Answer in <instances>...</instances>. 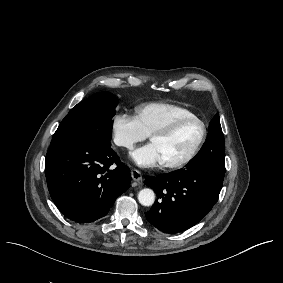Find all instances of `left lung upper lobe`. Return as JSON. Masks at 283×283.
Instances as JSON below:
<instances>
[{
	"label": "left lung upper lobe",
	"mask_w": 283,
	"mask_h": 283,
	"mask_svg": "<svg viewBox=\"0 0 283 283\" xmlns=\"http://www.w3.org/2000/svg\"><path fill=\"white\" fill-rule=\"evenodd\" d=\"M208 146H212V148ZM205 148H207V150L218 149L222 153L225 152L224 136L222 133L218 114L215 115L214 119L210 123L207 141L205 142V144L203 145L200 151H202ZM222 176H224V173H222Z\"/></svg>",
	"instance_id": "left-lung-upper-lobe-1"
}]
</instances>
